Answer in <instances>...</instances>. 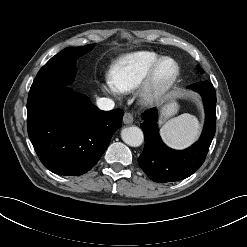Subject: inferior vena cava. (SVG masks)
<instances>
[{"label": "inferior vena cava", "mask_w": 247, "mask_h": 247, "mask_svg": "<svg viewBox=\"0 0 247 247\" xmlns=\"http://www.w3.org/2000/svg\"><path fill=\"white\" fill-rule=\"evenodd\" d=\"M96 103L101 110H112L115 106L114 101L109 98H99Z\"/></svg>", "instance_id": "602c4592"}]
</instances>
